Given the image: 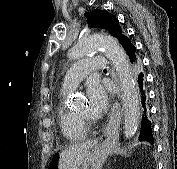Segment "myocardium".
<instances>
[{
    "mask_svg": "<svg viewBox=\"0 0 177 169\" xmlns=\"http://www.w3.org/2000/svg\"><path fill=\"white\" fill-rule=\"evenodd\" d=\"M75 113H76L77 117L79 118V120L84 124V126L87 129L96 126L99 122L97 119L89 118L88 116L77 113V112H75Z\"/></svg>",
    "mask_w": 177,
    "mask_h": 169,
    "instance_id": "myocardium-1",
    "label": "myocardium"
}]
</instances>
